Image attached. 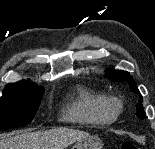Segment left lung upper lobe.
I'll return each mask as SVG.
<instances>
[{"instance_id": "1", "label": "left lung upper lobe", "mask_w": 155, "mask_h": 149, "mask_svg": "<svg viewBox=\"0 0 155 149\" xmlns=\"http://www.w3.org/2000/svg\"><path fill=\"white\" fill-rule=\"evenodd\" d=\"M106 72L108 73L109 80L113 82H127L129 84L131 91L140 94L136 86V83L129 72L122 70H112V69H107ZM142 100H143L142 96L140 95L139 103L137 104L136 107L137 108L136 116L143 120L146 119V116L142 108L143 107Z\"/></svg>"}]
</instances>
